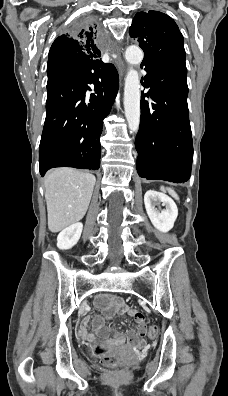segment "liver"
Listing matches in <instances>:
<instances>
[{
	"mask_svg": "<svg viewBox=\"0 0 228 396\" xmlns=\"http://www.w3.org/2000/svg\"><path fill=\"white\" fill-rule=\"evenodd\" d=\"M95 182L94 175L73 168L48 172L44 185L51 232H59L85 216Z\"/></svg>",
	"mask_w": 228,
	"mask_h": 396,
	"instance_id": "liver-1",
	"label": "liver"
}]
</instances>
